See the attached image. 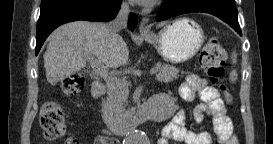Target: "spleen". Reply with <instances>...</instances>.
I'll return each mask as SVG.
<instances>
[{"label":"spleen","mask_w":273,"mask_h":144,"mask_svg":"<svg viewBox=\"0 0 273 144\" xmlns=\"http://www.w3.org/2000/svg\"><path fill=\"white\" fill-rule=\"evenodd\" d=\"M231 59H232V63L235 64L236 61H237V54H236V52H233V53H232ZM237 77H238L237 72H236L235 70H232V71L230 72V75H229L230 81H231V82H235V81L237 80Z\"/></svg>","instance_id":"spleen-1"}]
</instances>
